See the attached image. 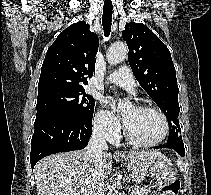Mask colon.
Segmentation results:
<instances>
[{"mask_svg":"<svg viewBox=\"0 0 211 195\" xmlns=\"http://www.w3.org/2000/svg\"><path fill=\"white\" fill-rule=\"evenodd\" d=\"M180 190V182L175 180L173 182L167 183L162 187V191L168 195H176Z\"/></svg>","mask_w":211,"mask_h":195,"instance_id":"1","label":"colon"}]
</instances>
